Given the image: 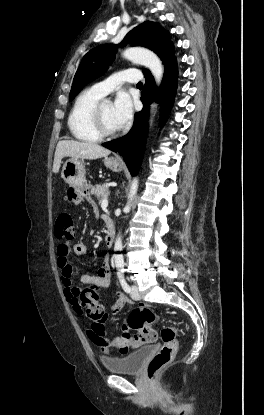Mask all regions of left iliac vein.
I'll return each instance as SVG.
<instances>
[{"instance_id":"left-iliac-vein-1","label":"left iliac vein","mask_w":264,"mask_h":415,"mask_svg":"<svg viewBox=\"0 0 264 415\" xmlns=\"http://www.w3.org/2000/svg\"><path fill=\"white\" fill-rule=\"evenodd\" d=\"M131 297L134 300H139L141 298L139 289L136 285H133L131 287Z\"/></svg>"}]
</instances>
